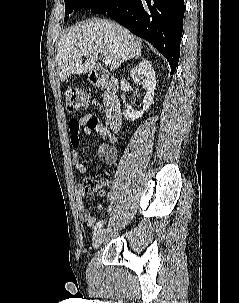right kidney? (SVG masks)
<instances>
[{
    "label": "right kidney",
    "mask_w": 239,
    "mask_h": 303,
    "mask_svg": "<svg viewBox=\"0 0 239 303\" xmlns=\"http://www.w3.org/2000/svg\"><path fill=\"white\" fill-rule=\"evenodd\" d=\"M130 76L135 83H138L143 79V87L146 88V94L143 100V110L142 111H124L125 119L129 121H134L138 118H141L144 114V111H147L154 99V91L156 88V76L155 71L148 60L141 61L136 65L131 71Z\"/></svg>",
    "instance_id": "ca27d5eb"
}]
</instances>
